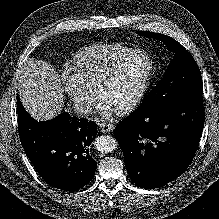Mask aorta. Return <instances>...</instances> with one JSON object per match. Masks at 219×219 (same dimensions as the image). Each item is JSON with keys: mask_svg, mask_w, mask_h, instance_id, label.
<instances>
[{"mask_svg": "<svg viewBox=\"0 0 219 219\" xmlns=\"http://www.w3.org/2000/svg\"><path fill=\"white\" fill-rule=\"evenodd\" d=\"M94 145L98 151L102 153H110L117 148L118 142L114 137L101 135L95 139Z\"/></svg>", "mask_w": 219, "mask_h": 219, "instance_id": "762f6f07", "label": "aorta"}]
</instances>
